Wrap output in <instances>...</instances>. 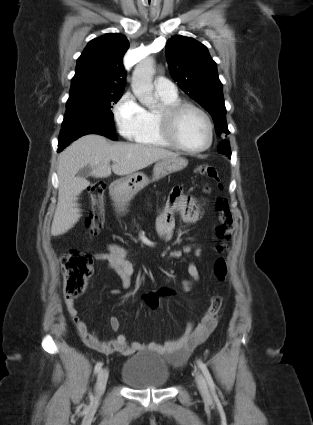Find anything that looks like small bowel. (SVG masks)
Instances as JSON below:
<instances>
[{
    "mask_svg": "<svg viewBox=\"0 0 313 425\" xmlns=\"http://www.w3.org/2000/svg\"><path fill=\"white\" fill-rule=\"evenodd\" d=\"M175 214H178L185 223H195L201 218V212L196 200L184 194L180 186L172 189L165 211L157 220L156 231L161 239L169 240L172 237L175 228ZM191 251L192 247L185 245L181 249L172 250L170 257L180 258ZM94 258L97 261L107 263L108 267L116 272L123 288L131 286L134 269L131 261L127 258L125 248L117 244H110L107 252H97L94 254ZM188 273L194 281L199 280L200 274L195 263L189 262ZM183 288L184 290H189L190 282H183ZM119 292L118 289L111 291L112 294H118ZM66 302L71 319L83 341L91 348L106 355L121 353L122 355L130 356L137 351L148 349L172 359L187 358L198 345L208 338L216 325V319H213L207 311L197 324L192 321L189 322L184 333L178 339L167 341L163 344L152 342L148 345H143L139 342H130L122 334H119L113 340L104 341L88 323L79 318L74 299L67 298ZM109 323L113 331H119L121 324L117 317L112 316Z\"/></svg>",
    "mask_w": 313,
    "mask_h": 425,
    "instance_id": "small-bowel-1",
    "label": "small bowel"
}]
</instances>
